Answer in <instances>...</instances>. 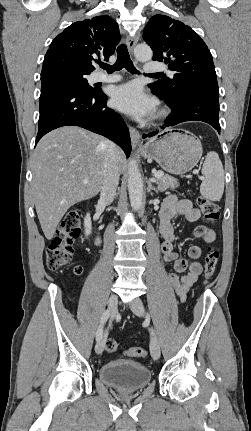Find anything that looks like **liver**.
<instances>
[{
  "label": "liver",
  "instance_id": "liver-1",
  "mask_svg": "<svg viewBox=\"0 0 251 431\" xmlns=\"http://www.w3.org/2000/svg\"><path fill=\"white\" fill-rule=\"evenodd\" d=\"M107 143L104 137L77 126L55 129L39 141L32 160L31 187L48 240L71 206L101 191ZM116 157L121 172L124 158L119 148Z\"/></svg>",
  "mask_w": 251,
  "mask_h": 431
}]
</instances>
